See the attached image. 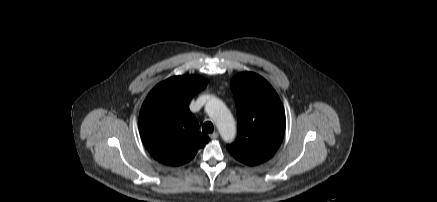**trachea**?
<instances>
[{"mask_svg": "<svg viewBox=\"0 0 437 202\" xmlns=\"http://www.w3.org/2000/svg\"><path fill=\"white\" fill-rule=\"evenodd\" d=\"M213 129H214L213 124L210 121L205 122L202 126V131L206 133H212Z\"/></svg>", "mask_w": 437, "mask_h": 202, "instance_id": "obj_1", "label": "trachea"}]
</instances>
